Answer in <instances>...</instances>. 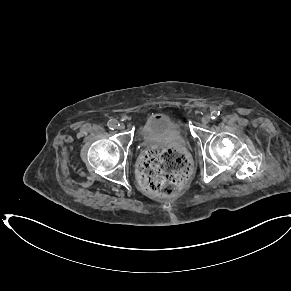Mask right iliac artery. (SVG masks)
<instances>
[{"label":"right iliac artery","mask_w":291,"mask_h":291,"mask_svg":"<svg viewBox=\"0 0 291 291\" xmlns=\"http://www.w3.org/2000/svg\"><path fill=\"white\" fill-rule=\"evenodd\" d=\"M107 125L111 130H114V129H116L118 127L119 124H118L117 120H114V119L112 120L111 119V120L108 121Z\"/></svg>","instance_id":"right-iliac-artery-1"}]
</instances>
